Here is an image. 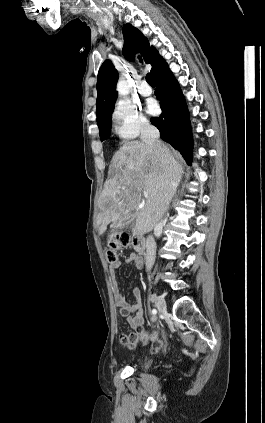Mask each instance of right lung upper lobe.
Wrapping results in <instances>:
<instances>
[{"label": "right lung upper lobe", "mask_w": 265, "mask_h": 423, "mask_svg": "<svg viewBox=\"0 0 265 423\" xmlns=\"http://www.w3.org/2000/svg\"><path fill=\"white\" fill-rule=\"evenodd\" d=\"M122 30L125 38V44L122 50L123 55L126 59L134 61V52H140L145 62L152 65L150 73L153 77L157 70L166 62L153 46H149L147 38L138 29L127 23L123 25ZM117 79V70L110 60H106L98 72L97 79V124L101 123L114 110V104L117 98L115 91Z\"/></svg>", "instance_id": "right-lung-upper-lobe-1"}]
</instances>
